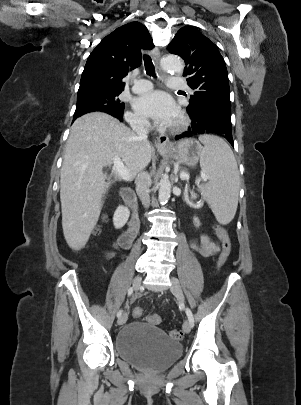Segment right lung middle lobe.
I'll use <instances>...</instances> for the list:
<instances>
[{"label":"right lung middle lobe","mask_w":301,"mask_h":405,"mask_svg":"<svg viewBox=\"0 0 301 405\" xmlns=\"http://www.w3.org/2000/svg\"><path fill=\"white\" fill-rule=\"evenodd\" d=\"M120 93L121 91L101 89L78 92L74 119L95 111L123 115L124 103L118 99Z\"/></svg>","instance_id":"1"}]
</instances>
